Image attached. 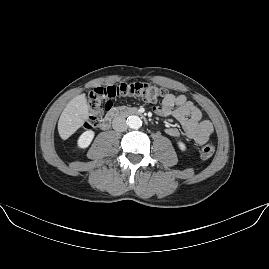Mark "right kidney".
Instances as JSON below:
<instances>
[{"instance_id":"1","label":"right kidney","mask_w":269,"mask_h":269,"mask_svg":"<svg viewBox=\"0 0 269 269\" xmlns=\"http://www.w3.org/2000/svg\"><path fill=\"white\" fill-rule=\"evenodd\" d=\"M93 138V132L92 131H86L84 132L80 139H79V145L81 147H86L89 145L90 141L92 140Z\"/></svg>"}]
</instances>
